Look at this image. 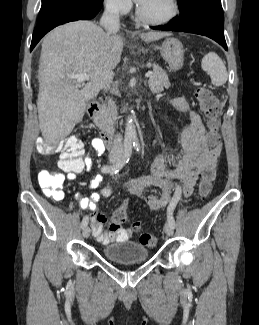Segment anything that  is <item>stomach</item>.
<instances>
[{"mask_svg":"<svg viewBox=\"0 0 259 325\" xmlns=\"http://www.w3.org/2000/svg\"><path fill=\"white\" fill-rule=\"evenodd\" d=\"M163 59L171 70H178L183 66L184 49L182 43L176 38H168L158 47Z\"/></svg>","mask_w":259,"mask_h":325,"instance_id":"stomach-1","label":"stomach"}]
</instances>
